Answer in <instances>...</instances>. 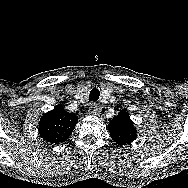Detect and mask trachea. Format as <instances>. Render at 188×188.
Returning <instances> with one entry per match:
<instances>
[{
  "label": "trachea",
  "instance_id": "1",
  "mask_svg": "<svg viewBox=\"0 0 188 188\" xmlns=\"http://www.w3.org/2000/svg\"><path fill=\"white\" fill-rule=\"evenodd\" d=\"M100 97V91L98 88H93L89 93V101L90 102H97Z\"/></svg>",
  "mask_w": 188,
  "mask_h": 188
}]
</instances>
